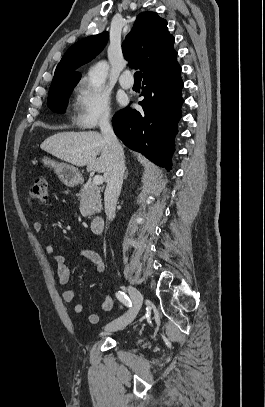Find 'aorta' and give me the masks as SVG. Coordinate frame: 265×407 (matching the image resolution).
Listing matches in <instances>:
<instances>
[{
	"instance_id": "obj_1",
	"label": "aorta",
	"mask_w": 265,
	"mask_h": 407,
	"mask_svg": "<svg viewBox=\"0 0 265 407\" xmlns=\"http://www.w3.org/2000/svg\"><path fill=\"white\" fill-rule=\"evenodd\" d=\"M109 65L106 61L98 62L92 67L88 73L90 82L93 87H100L106 80L108 74Z\"/></svg>"
}]
</instances>
